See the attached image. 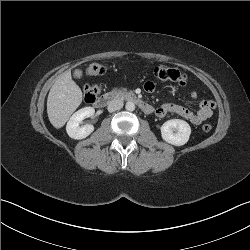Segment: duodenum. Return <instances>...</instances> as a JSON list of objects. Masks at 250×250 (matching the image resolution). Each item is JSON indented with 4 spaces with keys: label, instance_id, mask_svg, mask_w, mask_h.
<instances>
[{
    "label": "duodenum",
    "instance_id": "obj_1",
    "mask_svg": "<svg viewBox=\"0 0 250 250\" xmlns=\"http://www.w3.org/2000/svg\"><path fill=\"white\" fill-rule=\"evenodd\" d=\"M116 99H124L129 102L136 104L143 112L150 114L153 112V107L149 105L146 101H144L141 97L136 95L133 92L125 91V92H107L99 96L95 102L94 106L97 108H104L110 102Z\"/></svg>",
    "mask_w": 250,
    "mask_h": 250
}]
</instances>
